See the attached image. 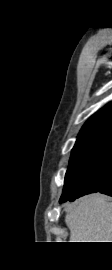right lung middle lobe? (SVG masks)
Here are the masks:
<instances>
[{
	"label": "right lung middle lobe",
	"instance_id": "right-lung-middle-lobe-1",
	"mask_svg": "<svg viewBox=\"0 0 112 270\" xmlns=\"http://www.w3.org/2000/svg\"><path fill=\"white\" fill-rule=\"evenodd\" d=\"M112 145V126H103L78 136L72 150L60 202L73 201L85 192L82 177L94 169Z\"/></svg>",
	"mask_w": 112,
	"mask_h": 270
}]
</instances>
